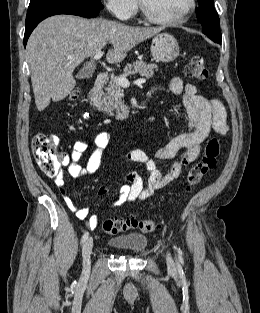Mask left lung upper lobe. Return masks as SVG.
<instances>
[{"label": "left lung upper lobe", "instance_id": "left-lung-upper-lobe-1", "mask_svg": "<svg viewBox=\"0 0 260 313\" xmlns=\"http://www.w3.org/2000/svg\"><path fill=\"white\" fill-rule=\"evenodd\" d=\"M198 2L200 7L196 9V15L203 27V33L214 42H221L220 23L214 8V0H198Z\"/></svg>", "mask_w": 260, "mask_h": 313}]
</instances>
